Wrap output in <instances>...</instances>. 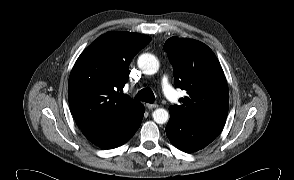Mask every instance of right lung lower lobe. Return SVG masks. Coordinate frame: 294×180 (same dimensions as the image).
<instances>
[{"label":"right lung lower lobe","instance_id":"1","mask_svg":"<svg viewBox=\"0 0 294 180\" xmlns=\"http://www.w3.org/2000/svg\"><path fill=\"white\" fill-rule=\"evenodd\" d=\"M144 106L137 102L110 124L83 128L82 133L101 148H116L126 143L140 127Z\"/></svg>","mask_w":294,"mask_h":180}]
</instances>
